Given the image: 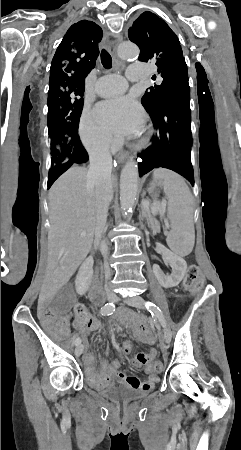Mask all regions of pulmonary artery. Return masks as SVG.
<instances>
[{"label":"pulmonary artery","mask_w":241,"mask_h":450,"mask_svg":"<svg viewBox=\"0 0 241 450\" xmlns=\"http://www.w3.org/2000/svg\"><path fill=\"white\" fill-rule=\"evenodd\" d=\"M148 64H130L126 70L127 78H147ZM128 85L126 78L120 74H98L95 90L100 97H106L108 102H115L121 93L125 92Z\"/></svg>","instance_id":"e3ab8cb5"}]
</instances>
